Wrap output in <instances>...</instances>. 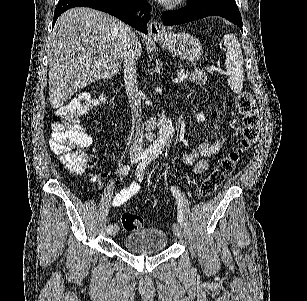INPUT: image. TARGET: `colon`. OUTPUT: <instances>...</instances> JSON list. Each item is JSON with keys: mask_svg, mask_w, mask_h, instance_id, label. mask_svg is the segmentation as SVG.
Wrapping results in <instances>:
<instances>
[{"mask_svg": "<svg viewBox=\"0 0 307 301\" xmlns=\"http://www.w3.org/2000/svg\"><path fill=\"white\" fill-rule=\"evenodd\" d=\"M95 105V99L89 94H82L60 106L54 116L51 149L61 156L62 162L74 173L92 168L97 162L95 156L84 151L91 146L92 138L81 123V119ZM236 108L242 120L241 135L236 147L222 157L201 182L198 192L203 198L210 197L223 184L235 170L241 155L258 140L259 114L252 94L240 93L236 98ZM121 222L124 230L129 232L141 229L144 223L142 217L131 212L123 213Z\"/></svg>", "mask_w": 307, "mask_h": 301, "instance_id": "obj_1", "label": "colon"}]
</instances>
